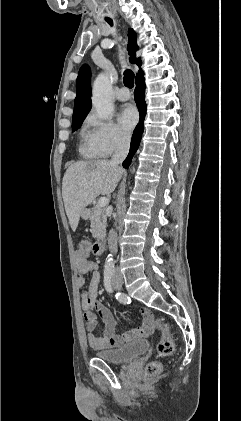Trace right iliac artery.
Returning a JSON list of instances; mask_svg holds the SVG:
<instances>
[{
  "instance_id": "right-iliac-artery-1",
  "label": "right iliac artery",
  "mask_w": 241,
  "mask_h": 421,
  "mask_svg": "<svg viewBox=\"0 0 241 421\" xmlns=\"http://www.w3.org/2000/svg\"><path fill=\"white\" fill-rule=\"evenodd\" d=\"M112 275H113V271L111 269H108L104 272V286H105V289L107 290V292H109V293L114 292V289H113L112 283H111ZM115 297L122 304H129L130 303V298L126 294H123V293H120V292H115Z\"/></svg>"
}]
</instances>
